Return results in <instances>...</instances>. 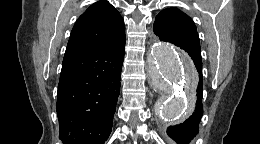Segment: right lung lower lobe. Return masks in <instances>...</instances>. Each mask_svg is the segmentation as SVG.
<instances>
[{
	"label": "right lung lower lobe",
	"mask_w": 260,
	"mask_h": 144,
	"mask_svg": "<svg viewBox=\"0 0 260 144\" xmlns=\"http://www.w3.org/2000/svg\"><path fill=\"white\" fill-rule=\"evenodd\" d=\"M125 40L65 55L58 85L59 138L65 144H104L120 93Z\"/></svg>",
	"instance_id": "right-lung-lower-lobe-1"
}]
</instances>
